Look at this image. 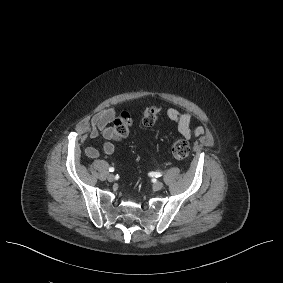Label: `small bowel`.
<instances>
[{"instance_id": "obj_1", "label": "small bowel", "mask_w": 283, "mask_h": 283, "mask_svg": "<svg viewBox=\"0 0 283 283\" xmlns=\"http://www.w3.org/2000/svg\"><path fill=\"white\" fill-rule=\"evenodd\" d=\"M116 112L113 108H105L97 112L90 120L89 124V137L95 139L99 136L104 138L102 145L103 152L107 155H111L115 151L113 144L114 130L109 124L115 118ZM168 118L175 122L180 134L186 139L192 137H198L204 134V128L197 126L191 127V115L187 111H180L176 108H170L167 110ZM85 154L90 159H95L99 156V151L95 147H87Z\"/></svg>"}]
</instances>
